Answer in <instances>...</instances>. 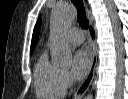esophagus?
I'll return each mask as SVG.
<instances>
[{"mask_svg": "<svg viewBox=\"0 0 128 99\" xmlns=\"http://www.w3.org/2000/svg\"><path fill=\"white\" fill-rule=\"evenodd\" d=\"M86 11H88L87 5H86ZM96 62H97V45L94 41H92L91 65H90V68H89L86 78L80 84V86L78 87L77 91L74 94V97L76 99L81 98L86 93V91L89 89V87L92 83V80L94 78Z\"/></svg>", "mask_w": 128, "mask_h": 99, "instance_id": "1", "label": "esophagus"}]
</instances>
